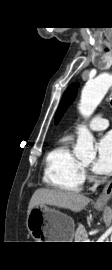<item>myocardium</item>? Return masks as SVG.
Returning a JSON list of instances; mask_svg holds the SVG:
<instances>
[{"label": "myocardium", "mask_w": 112, "mask_h": 270, "mask_svg": "<svg viewBox=\"0 0 112 270\" xmlns=\"http://www.w3.org/2000/svg\"><path fill=\"white\" fill-rule=\"evenodd\" d=\"M82 167H83V168H87V166H86V165H82Z\"/></svg>", "instance_id": "1"}]
</instances>
